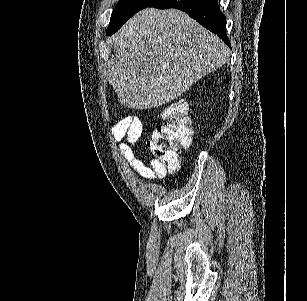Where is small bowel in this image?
Instances as JSON below:
<instances>
[{
  "label": "small bowel",
  "instance_id": "1",
  "mask_svg": "<svg viewBox=\"0 0 307 301\" xmlns=\"http://www.w3.org/2000/svg\"><path fill=\"white\" fill-rule=\"evenodd\" d=\"M143 134V124L138 117H127L114 125L112 136L119 141V149L129 165L143 178L154 180L166 174L160 161L152 158L145 163L139 158V140Z\"/></svg>",
  "mask_w": 307,
  "mask_h": 301
}]
</instances>
